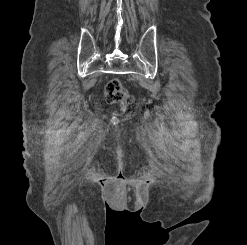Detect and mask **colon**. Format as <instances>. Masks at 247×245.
<instances>
[{"label": "colon", "instance_id": "5ec220e1", "mask_svg": "<svg viewBox=\"0 0 247 245\" xmlns=\"http://www.w3.org/2000/svg\"><path fill=\"white\" fill-rule=\"evenodd\" d=\"M106 100L110 104H120L125 107L130 102V97L117 78L111 79L105 88Z\"/></svg>", "mask_w": 247, "mask_h": 245}]
</instances>
